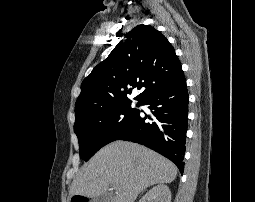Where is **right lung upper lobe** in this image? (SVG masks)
I'll return each mask as SVG.
<instances>
[{"label": "right lung upper lobe", "mask_w": 255, "mask_h": 202, "mask_svg": "<svg viewBox=\"0 0 255 202\" xmlns=\"http://www.w3.org/2000/svg\"><path fill=\"white\" fill-rule=\"evenodd\" d=\"M110 55L81 84L75 104L76 120L99 108L131 102L127 94L142 89L135 100L176 85L185 79L174 48L150 25H138L126 34Z\"/></svg>", "instance_id": "obj_1"}]
</instances>
